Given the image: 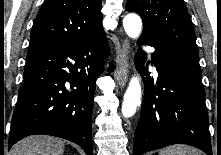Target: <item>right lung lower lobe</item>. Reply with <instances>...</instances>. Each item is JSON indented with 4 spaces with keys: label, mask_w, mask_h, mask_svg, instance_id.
Returning <instances> with one entry per match:
<instances>
[{
    "label": "right lung lower lobe",
    "mask_w": 221,
    "mask_h": 155,
    "mask_svg": "<svg viewBox=\"0 0 221 155\" xmlns=\"http://www.w3.org/2000/svg\"><path fill=\"white\" fill-rule=\"evenodd\" d=\"M108 52L105 33L79 42L29 47L8 150L33 134L57 136L92 155V110L96 80Z\"/></svg>",
    "instance_id": "98d812e1"
}]
</instances>
